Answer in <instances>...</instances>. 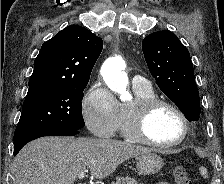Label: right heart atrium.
Returning a JSON list of instances; mask_svg holds the SVG:
<instances>
[{
  "mask_svg": "<svg viewBox=\"0 0 224 184\" xmlns=\"http://www.w3.org/2000/svg\"><path fill=\"white\" fill-rule=\"evenodd\" d=\"M120 104L101 81L94 82L82 101V116L86 127L96 136L110 137L116 130Z\"/></svg>",
  "mask_w": 224,
  "mask_h": 184,
  "instance_id": "right-heart-atrium-1",
  "label": "right heart atrium"
}]
</instances>
